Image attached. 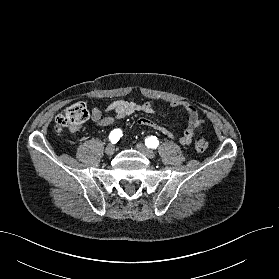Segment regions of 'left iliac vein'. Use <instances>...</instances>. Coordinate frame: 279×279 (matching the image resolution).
<instances>
[{
    "label": "left iliac vein",
    "instance_id": "obj_1",
    "mask_svg": "<svg viewBox=\"0 0 279 279\" xmlns=\"http://www.w3.org/2000/svg\"><path fill=\"white\" fill-rule=\"evenodd\" d=\"M136 148L149 159H153L155 157V153L142 143L136 144Z\"/></svg>",
    "mask_w": 279,
    "mask_h": 279
}]
</instances>
